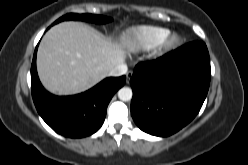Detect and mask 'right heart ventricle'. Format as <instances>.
I'll return each instance as SVG.
<instances>
[{
    "instance_id": "obj_1",
    "label": "right heart ventricle",
    "mask_w": 248,
    "mask_h": 165,
    "mask_svg": "<svg viewBox=\"0 0 248 165\" xmlns=\"http://www.w3.org/2000/svg\"><path fill=\"white\" fill-rule=\"evenodd\" d=\"M170 31L157 26H143L136 29L132 35V47L135 50H148L157 46Z\"/></svg>"
}]
</instances>
